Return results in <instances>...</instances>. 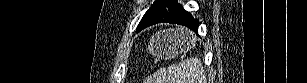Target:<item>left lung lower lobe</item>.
Instances as JSON below:
<instances>
[{
	"mask_svg": "<svg viewBox=\"0 0 307 83\" xmlns=\"http://www.w3.org/2000/svg\"><path fill=\"white\" fill-rule=\"evenodd\" d=\"M168 22V23H175V24H180L183 26H186L193 30L194 32L198 33V25L199 22L195 20L189 12L184 10L179 4L175 3L169 14L164 17L162 20L156 22ZM156 23H151L150 25L156 24ZM150 25L144 26L142 28L137 29V32L141 31L143 28H146Z\"/></svg>",
	"mask_w": 307,
	"mask_h": 83,
	"instance_id": "left-lung-lower-lobe-1",
	"label": "left lung lower lobe"
}]
</instances>
